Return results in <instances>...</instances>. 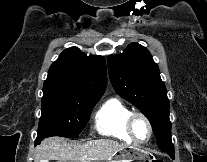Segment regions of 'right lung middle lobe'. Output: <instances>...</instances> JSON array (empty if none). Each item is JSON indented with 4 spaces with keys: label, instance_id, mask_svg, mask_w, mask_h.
Segmentation results:
<instances>
[{
    "label": "right lung middle lobe",
    "instance_id": "1",
    "mask_svg": "<svg viewBox=\"0 0 207 162\" xmlns=\"http://www.w3.org/2000/svg\"><path fill=\"white\" fill-rule=\"evenodd\" d=\"M99 97L58 91H43L41 117L36 140L50 136L77 138L89 120Z\"/></svg>",
    "mask_w": 207,
    "mask_h": 162
}]
</instances>
